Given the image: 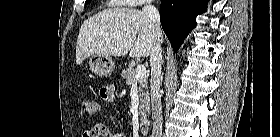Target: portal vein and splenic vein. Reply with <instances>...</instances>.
<instances>
[{"mask_svg": "<svg viewBox=\"0 0 280 137\" xmlns=\"http://www.w3.org/2000/svg\"><path fill=\"white\" fill-rule=\"evenodd\" d=\"M145 75H146L145 66L144 65H137V67L135 69L134 79L135 80L142 79L143 77H145Z\"/></svg>", "mask_w": 280, "mask_h": 137, "instance_id": "portal-vein-and-splenic-vein-1", "label": "portal vein and splenic vein"}]
</instances>
